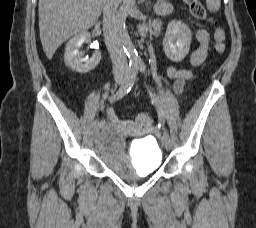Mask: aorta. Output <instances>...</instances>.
Wrapping results in <instances>:
<instances>
[{"instance_id":"obj_1","label":"aorta","mask_w":256,"mask_h":228,"mask_svg":"<svg viewBox=\"0 0 256 228\" xmlns=\"http://www.w3.org/2000/svg\"><path fill=\"white\" fill-rule=\"evenodd\" d=\"M136 5V0H123L122 5L117 12L118 31L123 48L129 58L130 65L136 66L141 63L135 47L132 44L130 36L126 28V19Z\"/></svg>"}]
</instances>
